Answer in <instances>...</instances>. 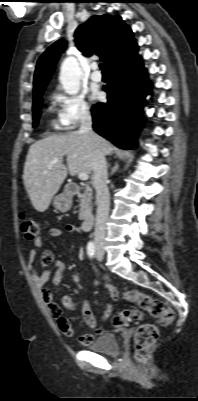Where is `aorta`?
I'll list each match as a JSON object with an SVG mask.
<instances>
[{
  "label": "aorta",
  "mask_w": 198,
  "mask_h": 401,
  "mask_svg": "<svg viewBox=\"0 0 198 401\" xmlns=\"http://www.w3.org/2000/svg\"><path fill=\"white\" fill-rule=\"evenodd\" d=\"M60 83L69 95H76L80 90V68L73 57L66 58L60 70Z\"/></svg>",
  "instance_id": "1"
}]
</instances>
